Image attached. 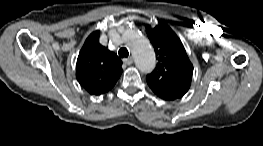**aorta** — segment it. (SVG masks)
<instances>
[{"label": "aorta", "mask_w": 263, "mask_h": 146, "mask_svg": "<svg viewBox=\"0 0 263 146\" xmlns=\"http://www.w3.org/2000/svg\"><path fill=\"white\" fill-rule=\"evenodd\" d=\"M124 40L134 55L138 69L145 73L152 71L156 59L149 41L135 29L127 30L124 33Z\"/></svg>", "instance_id": "aorta-1"}]
</instances>
